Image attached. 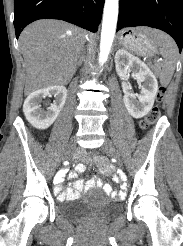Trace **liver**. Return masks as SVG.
<instances>
[{"label":"liver","mask_w":183,"mask_h":246,"mask_svg":"<svg viewBox=\"0 0 183 246\" xmlns=\"http://www.w3.org/2000/svg\"><path fill=\"white\" fill-rule=\"evenodd\" d=\"M88 34L57 20H39L20 35L26 67L25 94L67 84L76 71L77 59Z\"/></svg>","instance_id":"liver-1"}]
</instances>
